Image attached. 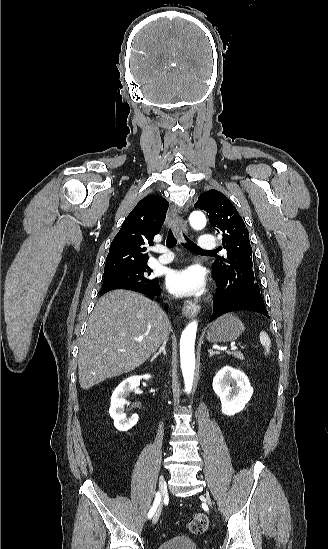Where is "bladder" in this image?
I'll return each mask as SVG.
<instances>
[{"mask_svg": "<svg viewBox=\"0 0 328 549\" xmlns=\"http://www.w3.org/2000/svg\"><path fill=\"white\" fill-rule=\"evenodd\" d=\"M158 549H196L188 537L181 535L162 542Z\"/></svg>", "mask_w": 328, "mask_h": 549, "instance_id": "obj_1", "label": "bladder"}]
</instances>
